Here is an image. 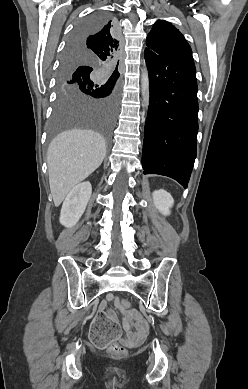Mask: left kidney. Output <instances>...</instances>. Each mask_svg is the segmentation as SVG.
Instances as JSON below:
<instances>
[{
  "label": "left kidney",
  "mask_w": 248,
  "mask_h": 389,
  "mask_svg": "<svg viewBox=\"0 0 248 389\" xmlns=\"http://www.w3.org/2000/svg\"><path fill=\"white\" fill-rule=\"evenodd\" d=\"M153 201L155 207L165 216L170 214V208L174 204V199L170 193L163 189L153 192Z\"/></svg>",
  "instance_id": "obj_1"
}]
</instances>
